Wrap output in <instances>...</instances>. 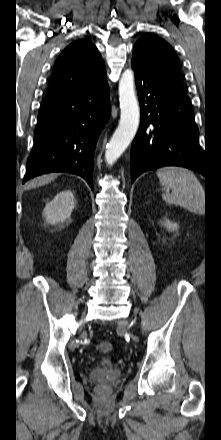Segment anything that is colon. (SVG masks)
Segmentation results:
<instances>
[{"instance_id": "colon-1", "label": "colon", "mask_w": 221, "mask_h": 440, "mask_svg": "<svg viewBox=\"0 0 221 440\" xmlns=\"http://www.w3.org/2000/svg\"><path fill=\"white\" fill-rule=\"evenodd\" d=\"M97 349L102 353H109L112 350V345L108 341H102L97 345ZM105 389V386L99 387L100 391H104Z\"/></svg>"}]
</instances>
